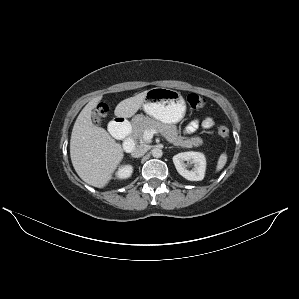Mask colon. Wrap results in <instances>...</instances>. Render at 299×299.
<instances>
[{
  "label": "colon",
  "instance_id": "1",
  "mask_svg": "<svg viewBox=\"0 0 299 299\" xmlns=\"http://www.w3.org/2000/svg\"><path fill=\"white\" fill-rule=\"evenodd\" d=\"M187 103L191 109L201 110L206 106V100L202 96L196 93H190L187 96ZM107 114V107L105 105H100L95 114V121L99 122ZM218 135L225 138L229 135V128L225 125L218 127Z\"/></svg>",
  "mask_w": 299,
  "mask_h": 299
}]
</instances>
